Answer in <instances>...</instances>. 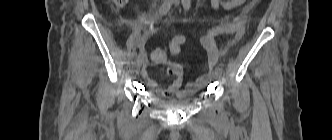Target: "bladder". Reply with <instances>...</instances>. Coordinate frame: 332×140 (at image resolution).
<instances>
[{
  "instance_id": "31cf9c89",
  "label": "bladder",
  "mask_w": 332,
  "mask_h": 140,
  "mask_svg": "<svg viewBox=\"0 0 332 140\" xmlns=\"http://www.w3.org/2000/svg\"><path fill=\"white\" fill-rule=\"evenodd\" d=\"M195 100V96L193 94L187 95L181 99H171V100H161L158 98H153V101L165 108L172 109H181L186 108L190 104H192Z\"/></svg>"
}]
</instances>
